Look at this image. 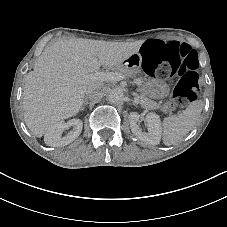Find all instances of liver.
I'll return each mask as SVG.
<instances>
[{
    "instance_id": "6515ba94",
    "label": "liver",
    "mask_w": 227,
    "mask_h": 227,
    "mask_svg": "<svg viewBox=\"0 0 227 227\" xmlns=\"http://www.w3.org/2000/svg\"><path fill=\"white\" fill-rule=\"evenodd\" d=\"M142 43L76 38L45 47L33 71L25 76L23 109L30 131L40 138L60 120L75 116L84 103L87 87L103 85L94 73L101 66L116 69L138 53Z\"/></svg>"
}]
</instances>
